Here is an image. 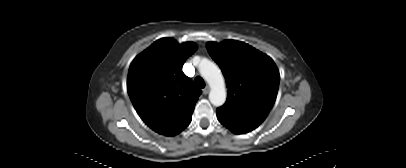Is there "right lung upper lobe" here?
I'll return each mask as SVG.
<instances>
[{"instance_id": "1", "label": "right lung upper lobe", "mask_w": 406, "mask_h": 168, "mask_svg": "<svg viewBox=\"0 0 406 168\" xmlns=\"http://www.w3.org/2000/svg\"><path fill=\"white\" fill-rule=\"evenodd\" d=\"M197 49L172 38L155 41L131 63L127 90L141 119L154 131L173 136L184 130L201 90L182 72Z\"/></svg>"}]
</instances>
